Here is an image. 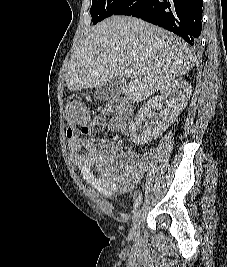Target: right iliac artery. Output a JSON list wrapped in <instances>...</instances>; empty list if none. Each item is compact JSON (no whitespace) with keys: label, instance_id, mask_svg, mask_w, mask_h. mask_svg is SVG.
<instances>
[{"label":"right iliac artery","instance_id":"obj_1","mask_svg":"<svg viewBox=\"0 0 227 267\" xmlns=\"http://www.w3.org/2000/svg\"><path fill=\"white\" fill-rule=\"evenodd\" d=\"M140 201H141V194H139V196L137 197V199L134 202L133 213H135V211L137 210V208H138V206L140 204Z\"/></svg>","mask_w":227,"mask_h":267}]
</instances>
